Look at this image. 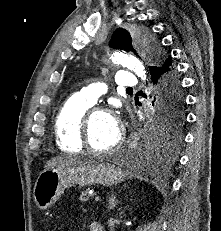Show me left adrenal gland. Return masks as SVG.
I'll use <instances>...</instances> for the list:
<instances>
[{
    "instance_id": "a2214340",
    "label": "left adrenal gland",
    "mask_w": 221,
    "mask_h": 231,
    "mask_svg": "<svg viewBox=\"0 0 221 231\" xmlns=\"http://www.w3.org/2000/svg\"><path fill=\"white\" fill-rule=\"evenodd\" d=\"M109 209H114V207L118 204V202L116 201V197L115 196H111L109 197Z\"/></svg>"
}]
</instances>
